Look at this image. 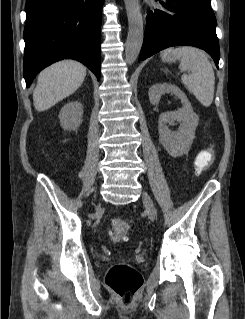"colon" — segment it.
<instances>
[{
	"label": "colon",
	"instance_id": "obj_1",
	"mask_svg": "<svg viewBox=\"0 0 245 319\" xmlns=\"http://www.w3.org/2000/svg\"><path fill=\"white\" fill-rule=\"evenodd\" d=\"M214 154L212 150L201 152L195 161V172L201 174L212 164ZM112 235L121 240L128 234L130 225L126 220L113 219L111 221ZM106 286L124 303H130L142 286L140 273L132 266L117 263L110 267L105 277Z\"/></svg>",
	"mask_w": 245,
	"mask_h": 319
}]
</instances>
